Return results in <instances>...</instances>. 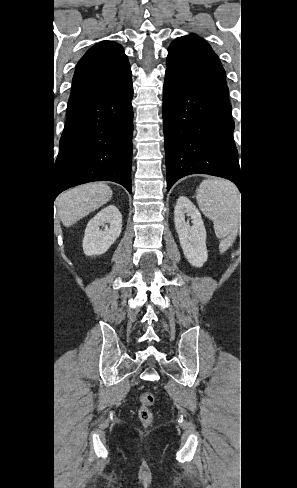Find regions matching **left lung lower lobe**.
I'll use <instances>...</instances> for the list:
<instances>
[{
	"label": "left lung lower lobe",
	"mask_w": 297,
	"mask_h": 488,
	"mask_svg": "<svg viewBox=\"0 0 297 488\" xmlns=\"http://www.w3.org/2000/svg\"><path fill=\"white\" fill-rule=\"evenodd\" d=\"M231 111L166 72L163 127L168 191L180 178L200 173L226 178L242 192Z\"/></svg>",
	"instance_id": "obj_1"
}]
</instances>
